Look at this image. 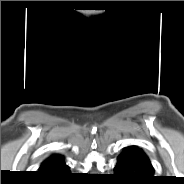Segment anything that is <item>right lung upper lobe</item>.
Returning <instances> with one entry per match:
<instances>
[{
    "mask_svg": "<svg viewBox=\"0 0 184 184\" xmlns=\"http://www.w3.org/2000/svg\"><path fill=\"white\" fill-rule=\"evenodd\" d=\"M60 158H62V157L59 156V155H53V156H51L50 158H48L47 160H45V161L42 163L40 169H41V168H44V167H46V166H48V165H50L51 163L55 162L56 160H58V159H60Z\"/></svg>",
    "mask_w": 184,
    "mask_h": 184,
    "instance_id": "cb5924a9",
    "label": "right lung upper lobe"
}]
</instances>
